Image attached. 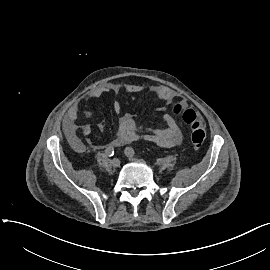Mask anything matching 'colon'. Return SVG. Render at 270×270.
<instances>
[{
    "instance_id": "5ec220e1",
    "label": "colon",
    "mask_w": 270,
    "mask_h": 270,
    "mask_svg": "<svg viewBox=\"0 0 270 270\" xmlns=\"http://www.w3.org/2000/svg\"><path fill=\"white\" fill-rule=\"evenodd\" d=\"M173 111L189 126L192 148L195 150L200 149L204 144L206 136L202 119L195 110L183 103L175 104Z\"/></svg>"
}]
</instances>
